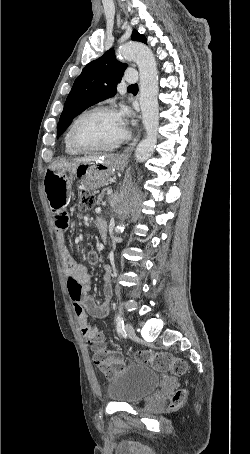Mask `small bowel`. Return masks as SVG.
Masks as SVG:
<instances>
[{
	"instance_id": "1",
	"label": "small bowel",
	"mask_w": 250,
	"mask_h": 454,
	"mask_svg": "<svg viewBox=\"0 0 250 454\" xmlns=\"http://www.w3.org/2000/svg\"><path fill=\"white\" fill-rule=\"evenodd\" d=\"M45 193L53 211L56 227L64 231L68 227L67 208L76 191L75 177L70 172L59 173L49 171L45 177ZM98 229L103 235L105 224L98 223ZM63 265L67 275V289L73 302L74 312L79 324L80 331L87 342H92L93 335L97 330L91 326L89 316L103 318L110 313V303H96L87 293L91 290V275L88 269L79 264L66 250L63 251ZM90 262L98 258L97 252L91 250L87 254ZM110 272V269H106ZM106 294L110 297V290L106 288Z\"/></svg>"
}]
</instances>
